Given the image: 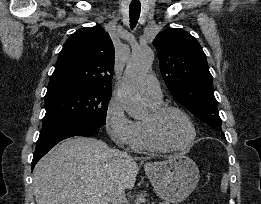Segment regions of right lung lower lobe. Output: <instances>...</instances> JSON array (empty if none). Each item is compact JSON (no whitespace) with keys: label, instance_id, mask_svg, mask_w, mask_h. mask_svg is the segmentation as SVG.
I'll return each instance as SVG.
<instances>
[{"label":"right lung lower lobe","instance_id":"98d812e1","mask_svg":"<svg viewBox=\"0 0 261 204\" xmlns=\"http://www.w3.org/2000/svg\"><path fill=\"white\" fill-rule=\"evenodd\" d=\"M101 125L88 121H73L43 127L32 160V169L35 164L58 142L72 136H93L99 132Z\"/></svg>","mask_w":261,"mask_h":204}]
</instances>
